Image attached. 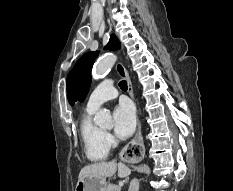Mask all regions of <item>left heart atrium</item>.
<instances>
[{
    "instance_id": "1",
    "label": "left heart atrium",
    "mask_w": 233,
    "mask_h": 191,
    "mask_svg": "<svg viewBox=\"0 0 233 191\" xmlns=\"http://www.w3.org/2000/svg\"><path fill=\"white\" fill-rule=\"evenodd\" d=\"M114 132L119 138L129 137L135 130L136 116L133 107L127 103H120L114 110Z\"/></svg>"
}]
</instances>
